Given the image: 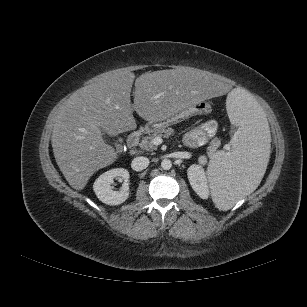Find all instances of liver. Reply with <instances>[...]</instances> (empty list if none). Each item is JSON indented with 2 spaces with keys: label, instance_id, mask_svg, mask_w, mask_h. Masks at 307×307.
Here are the masks:
<instances>
[{
  "label": "liver",
  "instance_id": "6515ba94",
  "mask_svg": "<svg viewBox=\"0 0 307 307\" xmlns=\"http://www.w3.org/2000/svg\"><path fill=\"white\" fill-rule=\"evenodd\" d=\"M134 79V73L122 69L106 72L60 107L51 142L55 160L75 190H82L96 171L117 158L114 148L103 140L101 129L116 136L136 128L133 111L147 121L171 116L206 97L216 99L229 89L198 69L154 71L136 79L131 104Z\"/></svg>",
  "mask_w": 307,
  "mask_h": 307
}]
</instances>
